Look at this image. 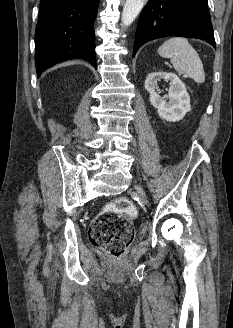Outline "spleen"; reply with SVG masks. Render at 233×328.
Listing matches in <instances>:
<instances>
[{
  "instance_id": "3e777b00",
  "label": "spleen",
  "mask_w": 233,
  "mask_h": 328,
  "mask_svg": "<svg viewBox=\"0 0 233 328\" xmlns=\"http://www.w3.org/2000/svg\"><path fill=\"white\" fill-rule=\"evenodd\" d=\"M161 57L170 58L174 69L193 79L196 83L205 82L203 64L196 50L184 37H173L158 49Z\"/></svg>"
}]
</instances>
